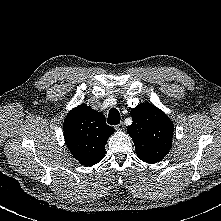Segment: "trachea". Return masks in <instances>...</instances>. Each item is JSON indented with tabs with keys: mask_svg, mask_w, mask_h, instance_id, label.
<instances>
[{
	"mask_svg": "<svg viewBox=\"0 0 221 221\" xmlns=\"http://www.w3.org/2000/svg\"><path fill=\"white\" fill-rule=\"evenodd\" d=\"M120 114L119 111L116 108H112L109 111L108 115V123L110 125H118L120 123Z\"/></svg>",
	"mask_w": 221,
	"mask_h": 221,
	"instance_id": "trachea-1",
	"label": "trachea"
}]
</instances>
